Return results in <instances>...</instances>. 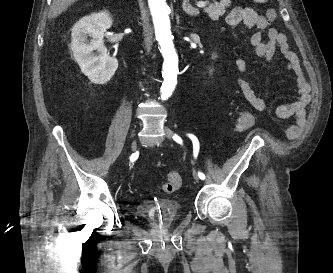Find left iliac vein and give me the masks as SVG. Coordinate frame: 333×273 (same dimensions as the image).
I'll return each instance as SVG.
<instances>
[{"instance_id": "obj_1", "label": "left iliac vein", "mask_w": 333, "mask_h": 273, "mask_svg": "<svg viewBox=\"0 0 333 273\" xmlns=\"http://www.w3.org/2000/svg\"><path fill=\"white\" fill-rule=\"evenodd\" d=\"M163 131H164L165 135H166L168 138H172V136H173V131H172L170 128H168L167 126H164V127H163ZM193 176H194L195 180H197V181L200 180L199 177L197 176V174H196L195 172L193 173Z\"/></svg>"}]
</instances>
